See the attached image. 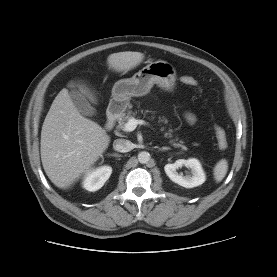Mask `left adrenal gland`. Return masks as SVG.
I'll return each instance as SVG.
<instances>
[{"instance_id": "1", "label": "left adrenal gland", "mask_w": 277, "mask_h": 277, "mask_svg": "<svg viewBox=\"0 0 277 277\" xmlns=\"http://www.w3.org/2000/svg\"><path fill=\"white\" fill-rule=\"evenodd\" d=\"M165 150H170V147H162V148H159V151H165Z\"/></svg>"}]
</instances>
